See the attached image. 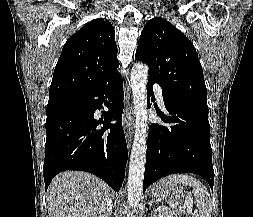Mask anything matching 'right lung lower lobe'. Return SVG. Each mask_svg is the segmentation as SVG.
<instances>
[{
	"label": "right lung lower lobe",
	"instance_id": "98d812e1",
	"mask_svg": "<svg viewBox=\"0 0 253 217\" xmlns=\"http://www.w3.org/2000/svg\"><path fill=\"white\" fill-rule=\"evenodd\" d=\"M124 92L117 72L85 93L48 102L43 175L51 180L65 170L86 171L119 191L128 157L121 124ZM105 104L98 121L94 112ZM111 119L118 123L111 124Z\"/></svg>",
	"mask_w": 253,
	"mask_h": 217
}]
</instances>
